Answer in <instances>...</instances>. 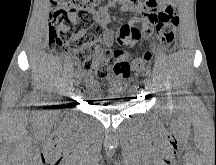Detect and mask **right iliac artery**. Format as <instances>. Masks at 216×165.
Returning a JSON list of instances; mask_svg holds the SVG:
<instances>
[{
	"label": "right iliac artery",
	"instance_id": "right-iliac-artery-1",
	"mask_svg": "<svg viewBox=\"0 0 216 165\" xmlns=\"http://www.w3.org/2000/svg\"><path fill=\"white\" fill-rule=\"evenodd\" d=\"M79 76V71L77 70L76 72H75V76ZM74 75L71 77L73 80L76 78Z\"/></svg>",
	"mask_w": 216,
	"mask_h": 165
}]
</instances>
